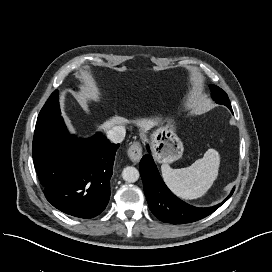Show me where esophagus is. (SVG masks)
Instances as JSON below:
<instances>
[{
	"instance_id": "34e87169",
	"label": "esophagus",
	"mask_w": 272,
	"mask_h": 272,
	"mask_svg": "<svg viewBox=\"0 0 272 272\" xmlns=\"http://www.w3.org/2000/svg\"><path fill=\"white\" fill-rule=\"evenodd\" d=\"M127 154L133 162H138L142 157V147L138 142H134L128 149Z\"/></svg>"
}]
</instances>
